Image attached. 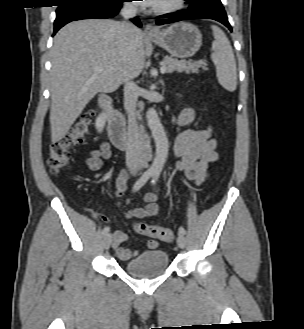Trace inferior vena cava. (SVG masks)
<instances>
[{
	"mask_svg": "<svg viewBox=\"0 0 304 329\" xmlns=\"http://www.w3.org/2000/svg\"><path fill=\"white\" fill-rule=\"evenodd\" d=\"M137 8L131 3H125L120 11L123 21L119 23L121 37L126 40L135 26L129 21L136 16ZM124 82V108L128 116V138L126 151V164L132 174H136L139 164V157L143 148V143L137 125V100L139 88L128 75L123 77Z\"/></svg>",
	"mask_w": 304,
	"mask_h": 329,
	"instance_id": "inferior-vena-cava-1",
	"label": "inferior vena cava"
}]
</instances>
